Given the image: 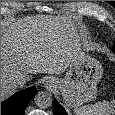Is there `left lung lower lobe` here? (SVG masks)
Listing matches in <instances>:
<instances>
[{"mask_svg":"<svg viewBox=\"0 0 115 115\" xmlns=\"http://www.w3.org/2000/svg\"><path fill=\"white\" fill-rule=\"evenodd\" d=\"M53 107H54V115H67L64 108L57 101L53 102Z\"/></svg>","mask_w":115,"mask_h":115,"instance_id":"1","label":"left lung lower lobe"}]
</instances>
